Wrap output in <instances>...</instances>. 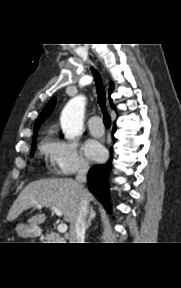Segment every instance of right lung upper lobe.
<instances>
[{"label": "right lung upper lobe", "instance_id": "right-lung-upper-lobe-1", "mask_svg": "<svg viewBox=\"0 0 181 288\" xmlns=\"http://www.w3.org/2000/svg\"><path fill=\"white\" fill-rule=\"evenodd\" d=\"M113 90V83H111L110 85V93L112 92ZM110 103H111V107L113 109H115L112 101L110 100ZM54 105H55V98L51 99L49 101V103L46 105V107L43 109V111L41 112V114L38 116L36 122H35V126H34V136H33V141L36 140V137H37V131L40 127V125L45 121V119L51 114V112L53 111V108H54Z\"/></svg>", "mask_w": 181, "mask_h": 288}]
</instances>
